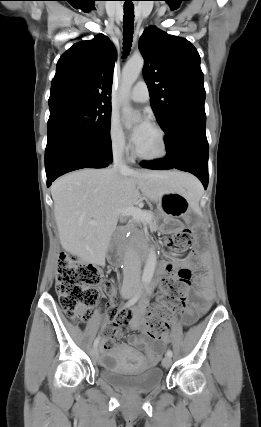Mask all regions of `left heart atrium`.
I'll list each match as a JSON object with an SVG mask.
<instances>
[{
  "label": "left heart atrium",
  "instance_id": "1",
  "mask_svg": "<svg viewBox=\"0 0 261 427\" xmlns=\"http://www.w3.org/2000/svg\"><path fill=\"white\" fill-rule=\"evenodd\" d=\"M152 128L147 119H142L131 131V140L135 146L139 145L147 132Z\"/></svg>",
  "mask_w": 261,
  "mask_h": 427
}]
</instances>
